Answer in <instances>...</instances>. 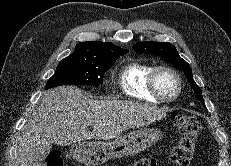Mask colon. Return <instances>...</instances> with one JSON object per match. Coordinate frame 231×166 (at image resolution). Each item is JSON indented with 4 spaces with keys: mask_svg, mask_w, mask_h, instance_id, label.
<instances>
[{
    "mask_svg": "<svg viewBox=\"0 0 231 166\" xmlns=\"http://www.w3.org/2000/svg\"><path fill=\"white\" fill-rule=\"evenodd\" d=\"M174 126L179 139L170 153V160L176 166H189L196 149L201 124L193 115L175 114ZM46 166H64L60 151L53 150L48 154ZM129 166H156V161L152 158H141L133 161Z\"/></svg>",
    "mask_w": 231,
    "mask_h": 166,
    "instance_id": "5ec220e1",
    "label": "colon"
}]
</instances>
